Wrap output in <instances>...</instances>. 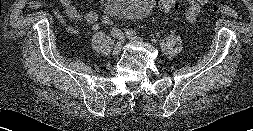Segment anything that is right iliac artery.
Masks as SVG:
<instances>
[{
    "label": "right iliac artery",
    "instance_id": "obj_1",
    "mask_svg": "<svg viewBox=\"0 0 253 131\" xmlns=\"http://www.w3.org/2000/svg\"><path fill=\"white\" fill-rule=\"evenodd\" d=\"M111 35L117 39H123L124 38V34L121 30L117 29V28H113L111 30Z\"/></svg>",
    "mask_w": 253,
    "mask_h": 131
}]
</instances>
